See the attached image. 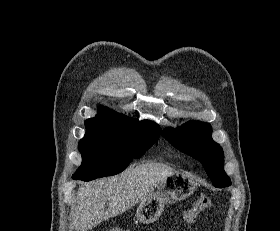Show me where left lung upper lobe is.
Returning a JSON list of instances; mask_svg holds the SVG:
<instances>
[{"instance_id": "1", "label": "left lung upper lobe", "mask_w": 280, "mask_h": 231, "mask_svg": "<svg viewBox=\"0 0 280 231\" xmlns=\"http://www.w3.org/2000/svg\"><path fill=\"white\" fill-rule=\"evenodd\" d=\"M211 133L208 123L190 121L180 128H166L162 136L177 149L200 161L215 187H227L231 180L223 169V150L212 140Z\"/></svg>"}]
</instances>
